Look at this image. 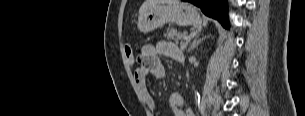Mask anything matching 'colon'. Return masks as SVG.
Masks as SVG:
<instances>
[{
  "label": "colon",
  "instance_id": "1",
  "mask_svg": "<svg viewBox=\"0 0 305 116\" xmlns=\"http://www.w3.org/2000/svg\"><path fill=\"white\" fill-rule=\"evenodd\" d=\"M125 56L130 65L134 63V52L131 44L127 43L125 45Z\"/></svg>",
  "mask_w": 305,
  "mask_h": 116
}]
</instances>
